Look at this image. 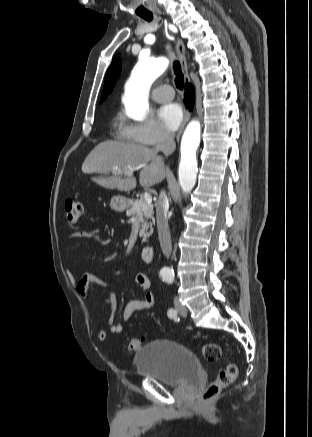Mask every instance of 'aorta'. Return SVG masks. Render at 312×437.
Instances as JSON below:
<instances>
[{
    "label": "aorta",
    "instance_id": "762f6f07",
    "mask_svg": "<svg viewBox=\"0 0 312 437\" xmlns=\"http://www.w3.org/2000/svg\"><path fill=\"white\" fill-rule=\"evenodd\" d=\"M169 61L165 57H140L126 84L124 104L126 114L135 121H143L149 109L148 95L152 83L167 69ZM201 127L195 120L188 124L181 140L179 164V184L183 193L191 192L197 177L196 151L200 144Z\"/></svg>",
    "mask_w": 312,
    "mask_h": 437
}]
</instances>
